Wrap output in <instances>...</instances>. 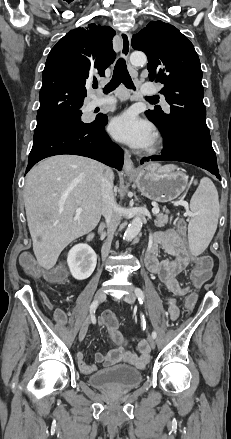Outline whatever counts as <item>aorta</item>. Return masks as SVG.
<instances>
[{
  "label": "aorta",
  "mask_w": 231,
  "mask_h": 439,
  "mask_svg": "<svg viewBox=\"0 0 231 439\" xmlns=\"http://www.w3.org/2000/svg\"><path fill=\"white\" fill-rule=\"evenodd\" d=\"M130 62L135 67L144 66L147 62L146 55L141 51H134L130 55ZM143 225L141 216H136L128 225L127 230L124 233V239L131 240L138 235Z\"/></svg>",
  "instance_id": "aorta-1"
}]
</instances>
